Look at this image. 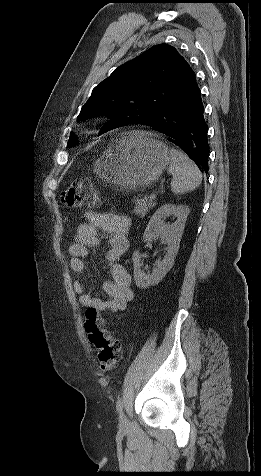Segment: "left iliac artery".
Masks as SVG:
<instances>
[{
	"label": "left iliac artery",
	"mask_w": 261,
	"mask_h": 476,
	"mask_svg": "<svg viewBox=\"0 0 261 476\" xmlns=\"http://www.w3.org/2000/svg\"><path fill=\"white\" fill-rule=\"evenodd\" d=\"M116 408H117L118 412L122 411V409H123V399L122 398H118V400L116 402Z\"/></svg>",
	"instance_id": "obj_1"
}]
</instances>
